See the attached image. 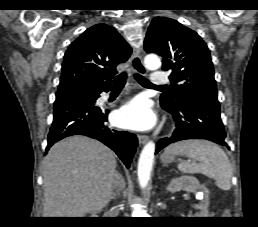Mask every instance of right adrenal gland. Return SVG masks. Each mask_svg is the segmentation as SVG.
<instances>
[{
	"label": "right adrenal gland",
	"mask_w": 258,
	"mask_h": 227,
	"mask_svg": "<svg viewBox=\"0 0 258 227\" xmlns=\"http://www.w3.org/2000/svg\"><path fill=\"white\" fill-rule=\"evenodd\" d=\"M119 183L124 185V179L118 171H115L113 184H114V188H118V190L116 193H113L111 199H115L119 195V190H121V188L118 187Z\"/></svg>",
	"instance_id": "right-adrenal-gland-1"
}]
</instances>
